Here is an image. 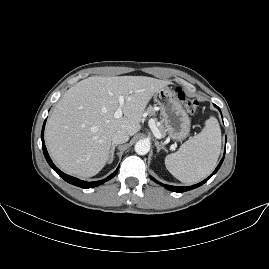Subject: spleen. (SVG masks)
<instances>
[{
	"instance_id": "spleen-1",
	"label": "spleen",
	"mask_w": 269,
	"mask_h": 269,
	"mask_svg": "<svg viewBox=\"0 0 269 269\" xmlns=\"http://www.w3.org/2000/svg\"><path fill=\"white\" fill-rule=\"evenodd\" d=\"M221 151V129L211 116L204 129L181 145L176 153L166 156L167 170L183 183H197L215 168Z\"/></svg>"
}]
</instances>
